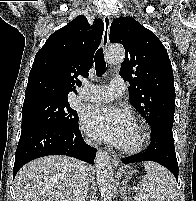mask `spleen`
Instances as JSON below:
<instances>
[{
  "label": "spleen",
  "mask_w": 196,
  "mask_h": 201,
  "mask_svg": "<svg viewBox=\"0 0 196 201\" xmlns=\"http://www.w3.org/2000/svg\"><path fill=\"white\" fill-rule=\"evenodd\" d=\"M145 178L139 183L135 201H174L176 198L175 178L163 166L144 162Z\"/></svg>",
  "instance_id": "1"
}]
</instances>
